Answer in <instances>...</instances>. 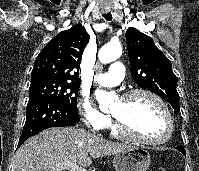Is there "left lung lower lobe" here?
Returning <instances> with one entry per match:
<instances>
[{
    "label": "left lung lower lobe",
    "instance_id": "1",
    "mask_svg": "<svg viewBox=\"0 0 199 171\" xmlns=\"http://www.w3.org/2000/svg\"><path fill=\"white\" fill-rule=\"evenodd\" d=\"M177 149L185 155V150L182 145L178 146Z\"/></svg>",
    "mask_w": 199,
    "mask_h": 171
}]
</instances>
